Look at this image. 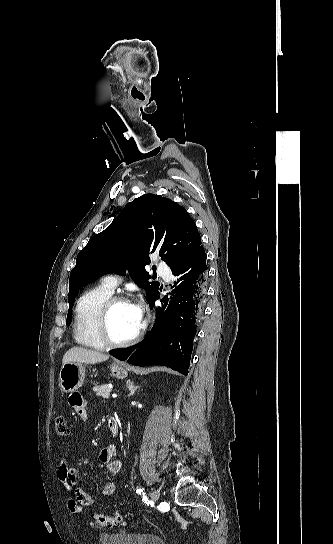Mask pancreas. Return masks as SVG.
<instances>
[{
	"label": "pancreas",
	"instance_id": "obj_1",
	"mask_svg": "<svg viewBox=\"0 0 333 544\" xmlns=\"http://www.w3.org/2000/svg\"><path fill=\"white\" fill-rule=\"evenodd\" d=\"M93 391L97 393V396L102 398H109L112 389L107 385L95 386Z\"/></svg>",
	"mask_w": 333,
	"mask_h": 544
}]
</instances>
